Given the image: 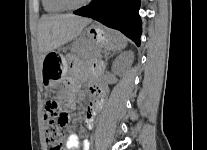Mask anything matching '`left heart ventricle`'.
Listing matches in <instances>:
<instances>
[{
	"mask_svg": "<svg viewBox=\"0 0 207 150\" xmlns=\"http://www.w3.org/2000/svg\"><path fill=\"white\" fill-rule=\"evenodd\" d=\"M72 3H79V2H81V1H83V0H70Z\"/></svg>",
	"mask_w": 207,
	"mask_h": 150,
	"instance_id": "b2bd125f",
	"label": "left heart ventricle"
}]
</instances>
